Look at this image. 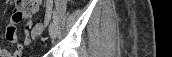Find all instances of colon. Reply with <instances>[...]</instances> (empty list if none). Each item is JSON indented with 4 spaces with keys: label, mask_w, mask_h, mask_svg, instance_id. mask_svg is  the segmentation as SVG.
<instances>
[{
    "label": "colon",
    "mask_w": 172,
    "mask_h": 57,
    "mask_svg": "<svg viewBox=\"0 0 172 57\" xmlns=\"http://www.w3.org/2000/svg\"><path fill=\"white\" fill-rule=\"evenodd\" d=\"M44 30V25L43 24H37L34 28V31L38 32L41 34V32H43Z\"/></svg>",
    "instance_id": "colon-1"
}]
</instances>
